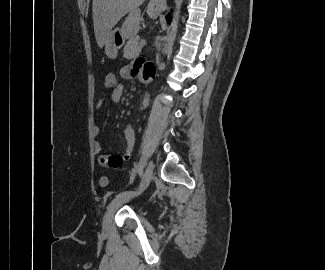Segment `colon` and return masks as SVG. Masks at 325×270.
<instances>
[{"mask_svg": "<svg viewBox=\"0 0 325 270\" xmlns=\"http://www.w3.org/2000/svg\"><path fill=\"white\" fill-rule=\"evenodd\" d=\"M119 83H120L119 78L114 72L110 71L106 73L104 77L105 88L113 90L119 85ZM108 183L109 180L107 176H101L99 178V184L101 187H107Z\"/></svg>", "mask_w": 325, "mask_h": 270, "instance_id": "colon-1", "label": "colon"}]
</instances>
